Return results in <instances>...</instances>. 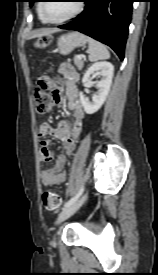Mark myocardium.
Instances as JSON below:
<instances>
[{
  "mask_svg": "<svg viewBox=\"0 0 158 275\" xmlns=\"http://www.w3.org/2000/svg\"><path fill=\"white\" fill-rule=\"evenodd\" d=\"M45 2L47 1H43V3H41L40 5V13H41V16L42 18L47 22V23H50V24H62V23H65L73 18H75L76 16H78L82 11H83V8H84V1L83 0H78L77 2V6H76V9L70 14L68 15L67 17L63 18V19H60V20H52V19H49L46 15H45Z\"/></svg>",
  "mask_w": 158,
  "mask_h": 275,
  "instance_id": "1",
  "label": "myocardium"
}]
</instances>
